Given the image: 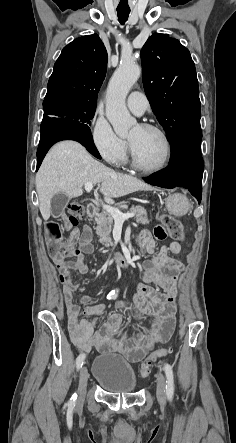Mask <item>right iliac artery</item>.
Returning a JSON list of instances; mask_svg holds the SVG:
<instances>
[{
	"label": "right iliac artery",
	"mask_w": 236,
	"mask_h": 443,
	"mask_svg": "<svg viewBox=\"0 0 236 443\" xmlns=\"http://www.w3.org/2000/svg\"><path fill=\"white\" fill-rule=\"evenodd\" d=\"M117 295H118V289L112 290L107 295V299H116ZM84 359H85V354L84 353L80 354L77 357V359H76V368H77V370L80 369L82 367V365L84 364ZM76 398H77V394H73V396L71 397V399L69 401V405L70 406H74L75 405Z\"/></svg>",
	"instance_id": "82829eb1"
}]
</instances>
